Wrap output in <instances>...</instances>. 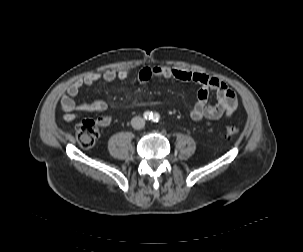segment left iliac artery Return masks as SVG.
I'll use <instances>...</instances> for the list:
<instances>
[{
	"mask_svg": "<svg viewBox=\"0 0 303 252\" xmlns=\"http://www.w3.org/2000/svg\"><path fill=\"white\" fill-rule=\"evenodd\" d=\"M152 120H153L154 122H158V120H159V115H158L157 113H155V114L153 115V117H152Z\"/></svg>",
	"mask_w": 303,
	"mask_h": 252,
	"instance_id": "1",
	"label": "left iliac artery"
}]
</instances>
